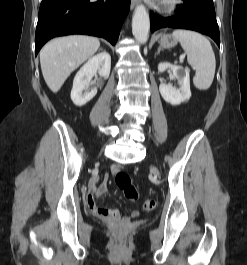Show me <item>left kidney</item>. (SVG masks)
<instances>
[{"label": "left kidney", "mask_w": 247, "mask_h": 265, "mask_svg": "<svg viewBox=\"0 0 247 265\" xmlns=\"http://www.w3.org/2000/svg\"><path fill=\"white\" fill-rule=\"evenodd\" d=\"M166 69H170L173 72L180 87L176 88L161 83L159 85V91L163 99L171 105H179L182 102L189 100L191 97L189 70L170 63H160L158 65V71L160 73L164 72Z\"/></svg>", "instance_id": "left-kidney-1"}]
</instances>
